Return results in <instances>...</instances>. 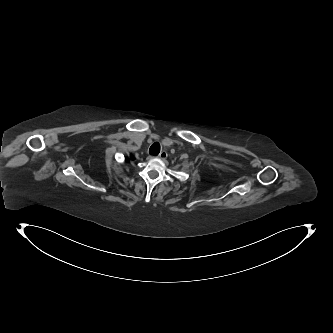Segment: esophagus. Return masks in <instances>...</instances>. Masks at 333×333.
<instances>
[{
	"mask_svg": "<svg viewBox=\"0 0 333 333\" xmlns=\"http://www.w3.org/2000/svg\"><path fill=\"white\" fill-rule=\"evenodd\" d=\"M159 158L161 159H166L167 158V152L166 151H161L160 154L158 155Z\"/></svg>",
	"mask_w": 333,
	"mask_h": 333,
	"instance_id": "1",
	"label": "esophagus"
}]
</instances>
